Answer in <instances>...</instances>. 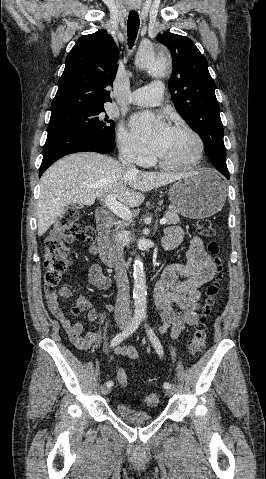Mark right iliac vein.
<instances>
[{"mask_svg":"<svg viewBox=\"0 0 266 479\" xmlns=\"http://www.w3.org/2000/svg\"><path fill=\"white\" fill-rule=\"evenodd\" d=\"M126 326H127L126 323H119V327L122 328V329L125 328ZM110 391H111V389H110V387H108L107 385H103V386L101 387V392H102L103 395L109 394Z\"/></svg>","mask_w":266,"mask_h":479,"instance_id":"right-iliac-vein-1","label":"right iliac vein"}]
</instances>
